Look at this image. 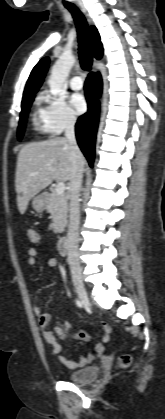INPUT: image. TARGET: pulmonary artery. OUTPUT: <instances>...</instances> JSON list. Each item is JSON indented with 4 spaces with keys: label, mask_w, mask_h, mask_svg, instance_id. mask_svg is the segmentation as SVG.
<instances>
[{
    "label": "pulmonary artery",
    "mask_w": 165,
    "mask_h": 419,
    "mask_svg": "<svg viewBox=\"0 0 165 419\" xmlns=\"http://www.w3.org/2000/svg\"><path fill=\"white\" fill-rule=\"evenodd\" d=\"M70 87L74 90H80L83 87L82 78L78 75L73 76L69 81Z\"/></svg>",
    "instance_id": "e3ab8cb5"
}]
</instances>
